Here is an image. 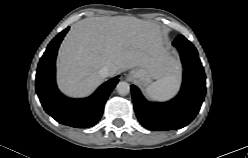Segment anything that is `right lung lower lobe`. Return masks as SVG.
<instances>
[{
    "instance_id": "obj_1",
    "label": "right lung lower lobe",
    "mask_w": 248,
    "mask_h": 158,
    "mask_svg": "<svg viewBox=\"0 0 248 158\" xmlns=\"http://www.w3.org/2000/svg\"><path fill=\"white\" fill-rule=\"evenodd\" d=\"M69 30L60 32L48 45L40 59L36 75V92L44 110L57 122L75 128H88L101 118L106 100L116 84L118 77L102 84L86 99H70L62 95L55 82V60L58 47Z\"/></svg>"
}]
</instances>
